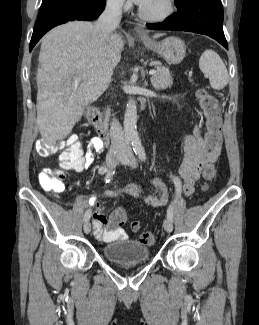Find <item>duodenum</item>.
<instances>
[{
  "mask_svg": "<svg viewBox=\"0 0 259 325\" xmlns=\"http://www.w3.org/2000/svg\"><path fill=\"white\" fill-rule=\"evenodd\" d=\"M87 117L90 124L96 129L98 133V137L104 143V145H108L110 141V135L103 124L100 110L97 106H91L87 112Z\"/></svg>",
  "mask_w": 259,
  "mask_h": 325,
  "instance_id": "410a0bca",
  "label": "duodenum"
}]
</instances>
